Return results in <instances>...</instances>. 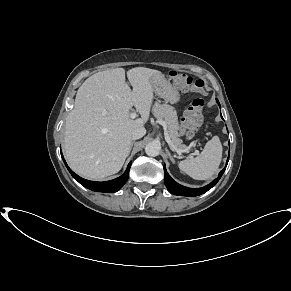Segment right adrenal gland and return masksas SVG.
<instances>
[{"mask_svg":"<svg viewBox=\"0 0 291 291\" xmlns=\"http://www.w3.org/2000/svg\"><path fill=\"white\" fill-rule=\"evenodd\" d=\"M134 143H135L134 141L131 142V144H130V148H129V153H130V151H131V149H132Z\"/></svg>","mask_w":291,"mask_h":291,"instance_id":"right-adrenal-gland-1","label":"right adrenal gland"}]
</instances>
